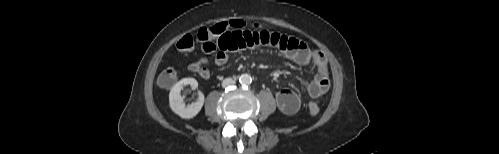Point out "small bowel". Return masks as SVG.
I'll list each match as a JSON object with an SVG mask.
<instances>
[{
	"instance_id": "c3829d8e",
	"label": "small bowel",
	"mask_w": 499,
	"mask_h": 154,
	"mask_svg": "<svg viewBox=\"0 0 499 154\" xmlns=\"http://www.w3.org/2000/svg\"><path fill=\"white\" fill-rule=\"evenodd\" d=\"M250 48L274 50L299 65H314L316 72L307 90L310 98L316 99L329 90L328 62L320 50L310 48L297 38L265 29L231 30L214 40L203 42L201 50L205 56L192 62L188 68L203 79H208L210 77V71L207 68L209 56L214 54V62L217 65H223L228 61L230 53ZM275 99L279 110L287 115L296 113L301 106L299 96L290 89L277 92Z\"/></svg>"
}]
</instances>
